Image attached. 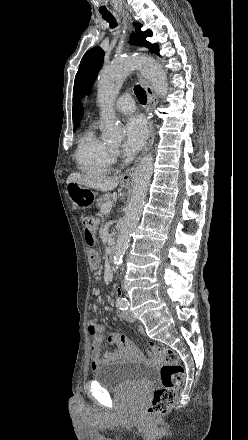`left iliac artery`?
<instances>
[{
    "instance_id": "obj_1",
    "label": "left iliac artery",
    "mask_w": 248,
    "mask_h": 440,
    "mask_svg": "<svg viewBox=\"0 0 248 440\" xmlns=\"http://www.w3.org/2000/svg\"><path fill=\"white\" fill-rule=\"evenodd\" d=\"M116 306L120 310H127L129 307V301L124 297H119V298H117Z\"/></svg>"
}]
</instances>
